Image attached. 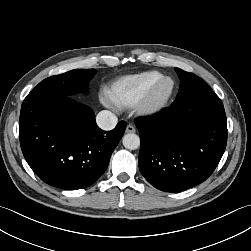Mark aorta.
<instances>
[{"label":"aorta","mask_w":251,"mask_h":251,"mask_svg":"<svg viewBox=\"0 0 251 251\" xmlns=\"http://www.w3.org/2000/svg\"><path fill=\"white\" fill-rule=\"evenodd\" d=\"M122 142L124 147L130 150H135L140 146V138L134 133L124 135Z\"/></svg>","instance_id":"762f6f07"}]
</instances>
